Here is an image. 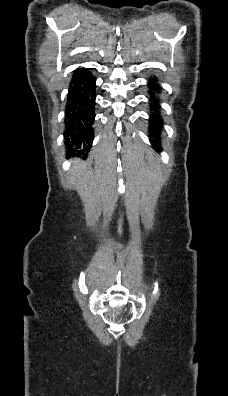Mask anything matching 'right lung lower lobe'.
I'll use <instances>...</instances> for the list:
<instances>
[{
  "mask_svg": "<svg viewBox=\"0 0 228 396\" xmlns=\"http://www.w3.org/2000/svg\"><path fill=\"white\" fill-rule=\"evenodd\" d=\"M96 79L85 68H78L70 83L66 109L65 143L70 156H85L93 140Z\"/></svg>",
  "mask_w": 228,
  "mask_h": 396,
  "instance_id": "1",
  "label": "right lung lower lobe"
}]
</instances>
